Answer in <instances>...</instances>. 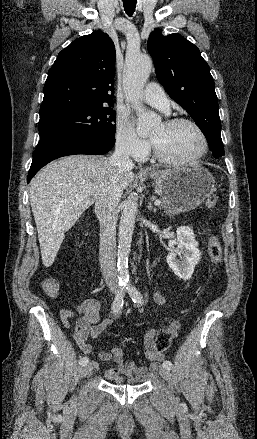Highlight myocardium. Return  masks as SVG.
<instances>
[{"instance_id": "obj_1", "label": "myocardium", "mask_w": 257, "mask_h": 439, "mask_svg": "<svg viewBox=\"0 0 257 439\" xmlns=\"http://www.w3.org/2000/svg\"><path fill=\"white\" fill-rule=\"evenodd\" d=\"M163 125L166 127H175V126H179V125H189V126L193 127L201 139L202 146H201L199 153L190 159H187V160L175 159V158L167 156L159 148L156 141L153 138H151L150 141L152 144L154 154H155L156 158L159 159L160 161L171 163L174 165L183 166V167H188V166L196 165L207 154L208 149H209L208 139H207L204 131L202 130V128L196 122H194L190 119H187V118H174V119L166 120L165 122H163Z\"/></svg>"}]
</instances>
